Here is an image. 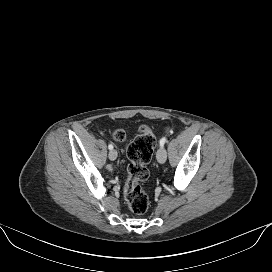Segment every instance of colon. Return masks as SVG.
<instances>
[{
    "mask_svg": "<svg viewBox=\"0 0 272 272\" xmlns=\"http://www.w3.org/2000/svg\"><path fill=\"white\" fill-rule=\"evenodd\" d=\"M112 137L116 141L125 139V131L117 129ZM156 145V139L152 131L143 126L139 134L127 147V157L130 161L127 168V180L124 185V197L129 209L136 215H142L147 212L149 200L147 194L141 187V182L149 176L147 163L152 158Z\"/></svg>",
    "mask_w": 272,
    "mask_h": 272,
    "instance_id": "obj_1",
    "label": "colon"
}]
</instances>
